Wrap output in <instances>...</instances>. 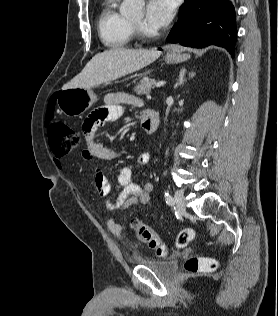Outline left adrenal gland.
I'll list each match as a JSON object with an SVG mask.
<instances>
[{
	"label": "left adrenal gland",
	"instance_id": "a2214340",
	"mask_svg": "<svg viewBox=\"0 0 278 316\" xmlns=\"http://www.w3.org/2000/svg\"><path fill=\"white\" fill-rule=\"evenodd\" d=\"M185 73H186V69H183L179 75V81H178V85H182L184 82H186V79L184 78L185 76ZM195 76V73H190L189 74V78H193Z\"/></svg>",
	"mask_w": 278,
	"mask_h": 316
}]
</instances>
